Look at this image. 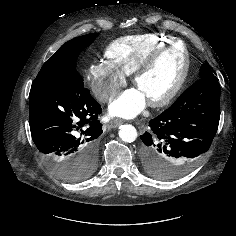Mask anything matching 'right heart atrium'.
Segmentation results:
<instances>
[{
  "label": "right heart atrium",
  "mask_w": 236,
  "mask_h": 236,
  "mask_svg": "<svg viewBox=\"0 0 236 236\" xmlns=\"http://www.w3.org/2000/svg\"><path fill=\"white\" fill-rule=\"evenodd\" d=\"M87 77L94 96L101 103L109 102L125 83V76L104 60L92 63Z\"/></svg>",
  "instance_id": "d8ad5b80"
}]
</instances>
